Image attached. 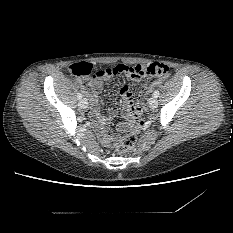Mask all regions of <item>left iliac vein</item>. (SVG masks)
Masks as SVG:
<instances>
[{
	"label": "left iliac vein",
	"instance_id": "left-iliac-vein-1",
	"mask_svg": "<svg viewBox=\"0 0 233 233\" xmlns=\"http://www.w3.org/2000/svg\"><path fill=\"white\" fill-rule=\"evenodd\" d=\"M148 104L151 108H155L158 105V101L155 97H151L148 101Z\"/></svg>",
	"mask_w": 233,
	"mask_h": 233
}]
</instances>
